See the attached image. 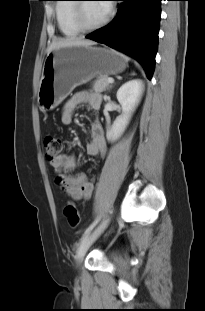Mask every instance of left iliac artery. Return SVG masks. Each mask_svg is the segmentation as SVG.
<instances>
[{
    "label": "left iliac artery",
    "mask_w": 205,
    "mask_h": 311,
    "mask_svg": "<svg viewBox=\"0 0 205 311\" xmlns=\"http://www.w3.org/2000/svg\"><path fill=\"white\" fill-rule=\"evenodd\" d=\"M99 218H96L91 224L90 226L86 229V231L84 232L82 239L83 240L91 231L92 229L97 225V223L99 222Z\"/></svg>",
    "instance_id": "obj_1"
}]
</instances>
